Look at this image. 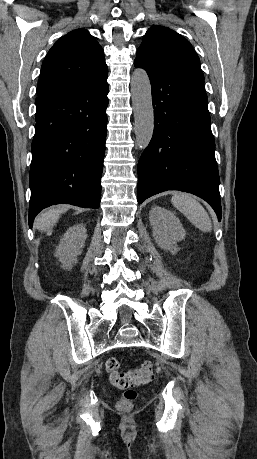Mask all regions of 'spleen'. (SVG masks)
Returning <instances> with one entry per match:
<instances>
[{
	"instance_id": "spleen-1",
	"label": "spleen",
	"mask_w": 257,
	"mask_h": 459,
	"mask_svg": "<svg viewBox=\"0 0 257 459\" xmlns=\"http://www.w3.org/2000/svg\"><path fill=\"white\" fill-rule=\"evenodd\" d=\"M171 203L199 230H212V222L207 211L191 194L177 192L172 196Z\"/></svg>"
}]
</instances>
